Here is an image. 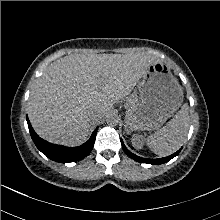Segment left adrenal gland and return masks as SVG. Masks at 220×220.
<instances>
[{"mask_svg":"<svg viewBox=\"0 0 220 220\" xmlns=\"http://www.w3.org/2000/svg\"><path fill=\"white\" fill-rule=\"evenodd\" d=\"M125 131L127 132V134H129V129L127 127V124L125 125Z\"/></svg>","mask_w":220,"mask_h":220,"instance_id":"obj_1","label":"left adrenal gland"}]
</instances>
